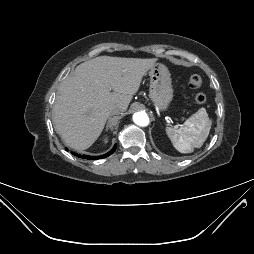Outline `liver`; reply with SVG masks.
<instances>
[{"label": "liver", "mask_w": 254, "mask_h": 254, "mask_svg": "<svg viewBox=\"0 0 254 254\" xmlns=\"http://www.w3.org/2000/svg\"><path fill=\"white\" fill-rule=\"evenodd\" d=\"M156 61L99 56L78 65L60 84L53 106L54 127L64 143L78 151L89 148L101 135L110 110H127Z\"/></svg>", "instance_id": "1"}]
</instances>
